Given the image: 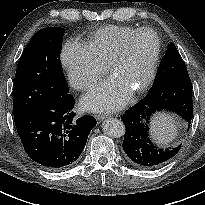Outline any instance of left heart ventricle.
<instances>
[{
	"instance_id": "b2bd125f",
	"label": "left heart ventricle",
	"mask_w": 205,
	"mask_h": 205,
	"mask_svg": "<svg viewBox=\"0 0 205 205\" xmlns=\"http://www.w3.org/2000/svg\"><path fill=\"white\" fill-rule=\"evenodd\" d=\"M156 49L151 34H141L130 44L127 56L116 66L113 76L131 91L145 80Z\"/></svg>"
}]
</instances>
